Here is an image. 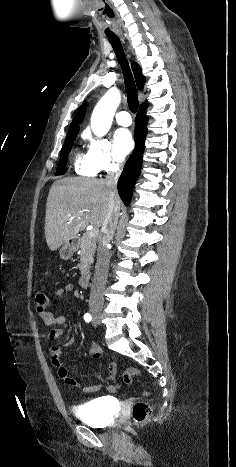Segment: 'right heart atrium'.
I'll list each match as a JSON object with an SVG mask.
<instances>
[{"label":"right heart atrium","instance_id":"obj_1","mask_svg":"<svg viewBox=\"0 0 236 467\" xmlns=\"http://www.w3.org/2000/svg\"><path fill=\"white\" fill-rule=\"evenodd\" d=\"M87 140L86 158L90 167L95 172H110L121 165V160L112 143L106 138H98L90 135Z\"/></svg>","mask_w":236,"mask_h":467}]
</instances>
